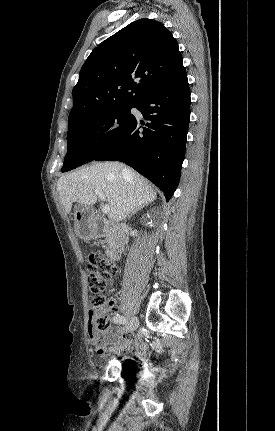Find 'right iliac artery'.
Segmentation results:
<instances>
[{
  "instance_id": "82829eb1",
  "label": "right iliac artery",
  "mask_w": 275,
  "mask_h": 431,
  "mask_svg": "<svg viewBox=\"0 0 275 431\" xmlns=\"http://www.w3.org/2000/svg\"><path fill=\"white\" fill-rule=\"evenodd\" d=\"M113 322L116 324H127V319L123 316H120L119 314L115 315L113 317Z\"/></svg>"
}]
</instances>
